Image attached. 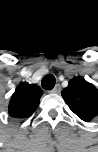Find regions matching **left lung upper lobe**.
I'll return each instance as SVG.
<instances>
[{
  "mask_svg": "<svg viewBox=\"0 0 98 152\" xmlns=\"http://www.w3.org/2000/svg\"><path fill=\"white\" fill-rule=\"evenodd\" d=\"M61 94L81 120L90 122L98 116V89L83 77L72 78Z\"/></svg>",
  "mask_w": 98,
  "mask_h": 152,
  "instance_id": "obj_1",
  "label": "left lung upper lobe"
}]
</instances>
